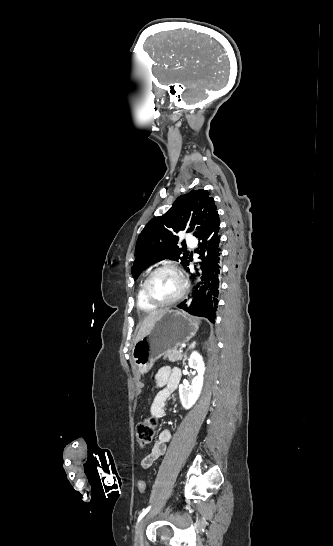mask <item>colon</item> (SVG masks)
<instances>
[{
	"label": "colon",
	"instance_id": "1",
	"mask_svg": "<svg viewBox=\"0 0 333 546\" xmlns=\"http://www.w3.org/2000/svg\"><path fill=\"white\" fill-rule=\"evenodd\" d=\"M156 431V420L154 417H150L141 421L136 428L137 442L140 448L145 449L153 441ZM138 491L144 493L146 490V483L139 481L137 484Z\"/></svg>",
	"mask_w": 333,
	"mask_h": 546
}]
</instances>
